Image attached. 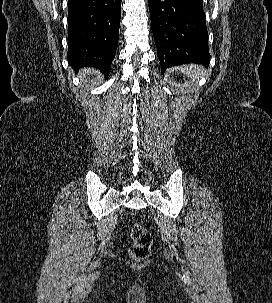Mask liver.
<instances>
[{"instance_id": "6515ba94", "label": "liver", "mask_w": 272, "mask_h": 303, "mask_svg": "<svg viewBox=\"0 0 272 303\" xmlns=\"http://www.w3.org/2000/svg\"><path fill=\"white\" fill-rule=\"evenodd\" d=\"M95 73V69L93 68H84L79 71L81 77L85 78L88 75H92Z\"/></svg>"}]
</instances>
